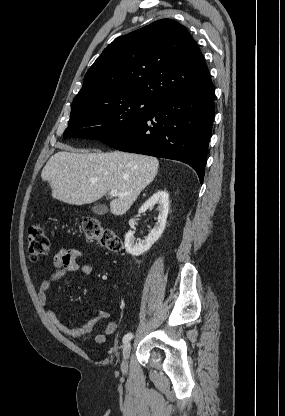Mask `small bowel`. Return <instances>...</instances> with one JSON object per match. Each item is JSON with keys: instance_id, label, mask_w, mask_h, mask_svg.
I'll use <instances>...</instances> for the list:
<instances>
[{"instance_id": "small-bowel-1", "label": "small bowel", "mask_w": 285, "mask_h": 416, "mask_svg": "<svg viewBox=\"0 0 285 416\" xmlns=\"http://www.w3.org/2000/svg\"><path fill=\"white\" fill-rule=\"evenodd\" d=\"M81 256L82 253L78 249H61L54 256L51 265L47 269L45 276L39 285L37 297L45 311L46 317L61 333L83 342L94 338L96 343L103 344L106 342L108 336L115 332L117 327L116 321L111 319L109 312L99 310L91 320L80 326L73 327L64 324L48 304L47 294L53 282L61 280L68 274L81 273L83 275H90L93 272V264L91 262L81 261ZM105 320H108V322L104 325L103 329L93 335L95 324Z\"/></svg>"}]
</instances>
